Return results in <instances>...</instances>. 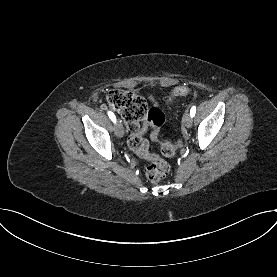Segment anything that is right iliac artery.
I'll return each mask as SVG.
<instances>
[{
  "label": "right iliac artery",
  "instance_id": "right-iliac-artery-1",
  "mask_svg": "<svg viewBox=\"0 0 277 277\" xmlns=\"http://www.w3.org/2000/svg\"><path fill=\"white\" fill-rule=\"evenodd\" d=\"M108 116L110 117V119H111L113 122H116V117H115V115L113 114V112L109 111V112H108Z\"/></svg>",
  "mask_w": 277,
  "mask_h": 277
}]
</instances>
